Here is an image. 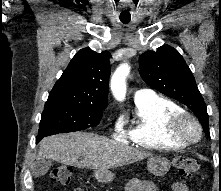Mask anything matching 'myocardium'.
Returning <instances> with one entry per match:
<instances>
[{
  "instance_id": "myocardium-1",
  "label": "myocardium",
  "mask_w": 221,
  "mask_h": 191,
  "mask_svg": "<svg viewBox=\"0 0 221 191\" xmlns=\"http://www.w3.org/2000/svg\"><path fill=\"white\" fill-rule=\"evenodd\" d=\"M169 134L188 144L195 143L202 137V127L192 114L183 111L170 120Z\"/></svg>"
}]
</instances>
